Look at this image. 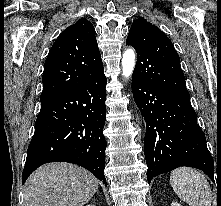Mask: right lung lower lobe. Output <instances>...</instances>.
Returning <instances> with one entry per match:
<instances>
[{"label": "right lung lower lobe", "instance_id": "98d812e1", "mask_svg": "<svg viewBox=\"0 0 221 206\" xmlns=\"http://www.w3.org/2000/svg\"><path fill=\"white\" fill-rule=\"evenodd\" d=\"M106 82L102 72L77 88L41 101L22 184L45 163L69 162L88 169L106 185Z\"/></svg>", "mask_w": 221, "mask_h": 206}]
</instances>
